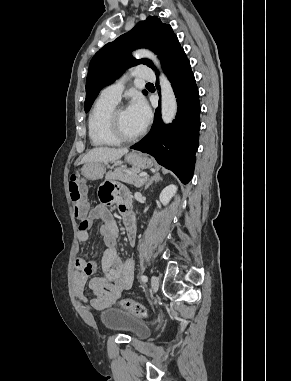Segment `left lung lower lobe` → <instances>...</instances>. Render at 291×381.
Returning a JSON list of instances; mask_svg holds the SVG:
<instances>
[{
    "instance_id": "1",
    "label": "left lung lower lobe",
    "mask_w": 291,
    "mask_h": 381,
    "mask_svg": "<svg viewBox=\"0 0 291 381\" xmlns=\"http://www.w3.org/2000/svg\"><path fill=\"white\" fill-rule=\"evenodd\" d=\"M164 72L177 98L175 120L172 124H164L158 107L150 133L131 148L152 155L187 184L193 175L198 148L200 102L194 74L183 48L166 65Z\"/></svg>"
}]
</instances>
